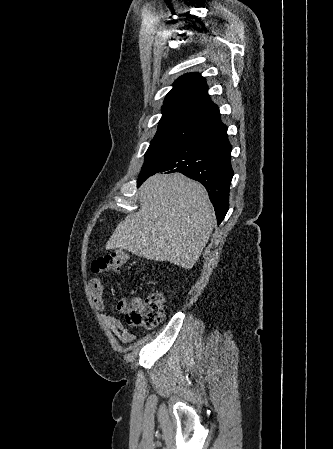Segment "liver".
<instances>
[{"label":"liver","instance_id":"liver-1","mask_svg":"<svg viewBox=\"0 0 333 449\" xmlns=\"http://www.w3.org/2000/svg\"><path fill=\"white\" fill-rule=\"evenodd\" d=\"M139 200L140 210L117 225L106 249L191 269L215 224L205 188L181 173L156 174L141 186Z\"/></svg>","mask_w":333,"mask_h":449}]
</instances>
